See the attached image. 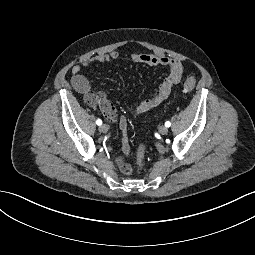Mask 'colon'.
Returning <instances> with one entry per match:
<instances>
[{"label": "colon", "mask_w": 255, "mask_h": 255, "mask_svg": "<svg viewBox=\"0 0 255 255\" xmlns=\"http://www.w3.org/2000/svg\"><path fill=\"white\" fill-rule=\"evenodd\" d=\"M196 85V80L193 77H188L187 79L184 80L182 87L184 92H191L195 88ZM145 151L146 148L144 145H141L138 154H137V160L140 166L144 164V159H145Z\"/></svg>", "instance_id": "colon-1"}]
</instances>
